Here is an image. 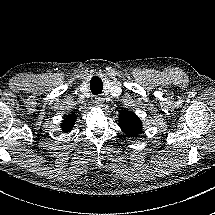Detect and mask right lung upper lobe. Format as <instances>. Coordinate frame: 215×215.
Masks as SVG:
<instances>
[{
    "mask_svg": "<svg viewBox=\"0 0 215 215\" xmlns=\"http://www.w3.org/2000/svg\"><path fill=\"white\" fill-rule=\"evenodd\" d=\"M77 116L75 114L67 115L61 123V129L63 132H70L75 124Z\"/></svg>",
    "mask_w": 215,
    "mask_h": 215,
    "instance_id": "cb5924a9",
    "label": "right lung upper lobe"
}]
</instances>
